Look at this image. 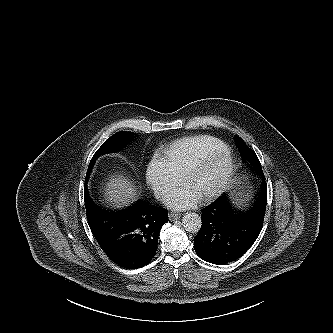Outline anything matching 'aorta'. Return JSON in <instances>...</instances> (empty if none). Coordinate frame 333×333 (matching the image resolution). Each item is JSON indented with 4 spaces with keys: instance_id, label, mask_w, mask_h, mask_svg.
Segmentation results:
<instances>
[{
    "instance_id": "1",
    "label": "aorta",
    "mask_w": 333,
    "mask_h": 333,
    "mask_svg": "<svg viewBox=\"0 0 333 333\" xmlns=\"http://www.w3.org/2000/svg\"><path fill=\"white\" fill-rule=\"evenodd\" d=\"M201 217L195 212L185 213L182 217V225L189 233H197L201 228Z\"/></svg>"
}]
</instances>
